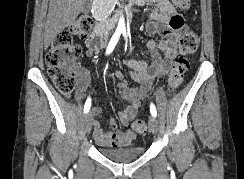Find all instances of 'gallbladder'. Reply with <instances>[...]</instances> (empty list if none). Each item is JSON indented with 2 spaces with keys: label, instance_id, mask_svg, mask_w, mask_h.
<instances>
[{
  "label": "gallbladder",
  "instance_id": "obj_1",
  "mask_svg": "<svg viewBox=\"0 0 244 179\" xmlns=\"http://www.w3.org/2000/svg\"><path fill=\"white\" fill-rule=\"evenodd\" d=\"M91 2L92 0H86L85 4H83V8H82L83 14H89L91 10Z\"/></svg>",
  "mask_w": 244,
  "mask_h": 179
}]
</instances>
